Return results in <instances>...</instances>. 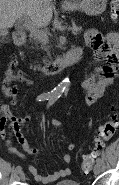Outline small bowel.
Masks as SVG:
<instances>
[{"label":"small bowel","mask_w":119,"mask_h":185,"mask_svg":"<svg viewBox=\"0 0 119 185\" xmlns=\"http://www.w3.org/2000/svg\"><path fill=\"white\" fill-rule=\"evenodd\" d=\"M86 43L94 49V56L97 61H104V65L94 71V73L83 81L82 86L86 92V104L92 105L103 94L106 86L113 83L116 72L119 67V37L116 32H100L95 29H89L85 33ZM17 59H13L8 68L5 71V76L1 84V90L4 97L10 99L11 106H16L18 83L31 84L32 81L27 78L24 73L18 70ZM2 120H1V136L4 140L8 150L14 154L17 158L26 159V153L37 155L39 150L32 147L21 133V126L27 124L30 121L28 115L22 117H15L9 105H3L1 108ZM10 120V131L6 128V121ZM53 127L59 128L61 123L58 120H52ZM13 136H15L18 142L21 144V148L18 149L13 145ZM73 143L65 145L67 151L74 149ZM63 161L65 163L71 162V155L65 153L63 155ZM28 170L34 176L37 182L50 183L58 179L65 178L71 174V168L65 167L59 171L54 172L51 175L44 176L40 174L37 168L33 165H28Z\"/></svg>","instance_id":"small-bowel-1"}]
</instances>
